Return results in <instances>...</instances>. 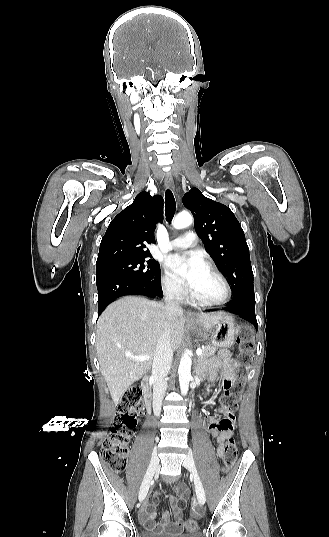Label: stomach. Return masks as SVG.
<instances>
[{
	"mask_svg": "<svg viewBox=\"0 0 329 537\" xmlns=\"http://www.w3.org/2000/svg\"><path fill=\"white\" fill-rule=\"evenodd\" d=\"M240 331L241 327L234 322L233 317L226 315L203 335L215 346L231 347Z\"/></svg>",
	"mask_w": 329,
	"mask_h": 537,
	"instance_id": "obj_1",
	"label": "stomach"
}]
</instances>
